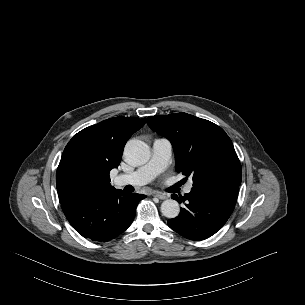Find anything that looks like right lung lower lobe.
<instances>
[{
	"instance_id": "obj_1",
	"label": "right lung lower lobe",
	"mask_w": 305,
	"mask_h": 305,
	"mask_svg": "<svg viewBox=\"0 0 305 305\" xmlns=\"http://www.w3.org/2000/svg\"><path fill=\"white\" fill-rule=\"evenodd\" d=\"M145 197L114 189L109 192L90 193L61 205L70 224L84 238L108 241L131 225L136 207Z\"/></svg>"
}]
</instances>
